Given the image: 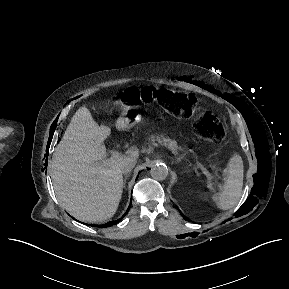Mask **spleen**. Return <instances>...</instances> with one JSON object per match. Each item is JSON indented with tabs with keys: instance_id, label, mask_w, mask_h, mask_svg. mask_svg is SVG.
Here are the masks:
<instances>
[{
	"instance_id": "obj_1",
	"label": "spleen",
	"mask_w": 289,
	"mask_h": 289,
	"mask_svg": "<svg viewBox=\"0 0 289 289\" xmlns=\"http://www.w3.org/2000/svg\"><path fill=\"white\" fill-rule=\"evenodd\" d=\"M243 178L242 158L234 154L224 169V183L213 199L220 210H229L238 203L242 194Z\"/></svg>"
}]
</instances>
